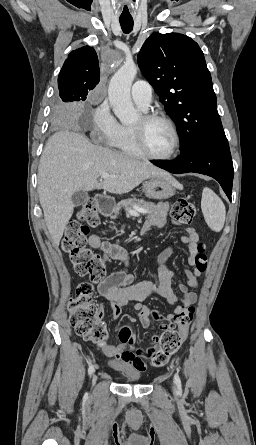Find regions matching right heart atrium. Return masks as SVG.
<instances>
[{
  "label": "right heart atrium",
  "instance_id": "d8ad5b80",
  "mask_svg": "<svg viewBox=\"0 0 256 445\" xmlns=\"http://www.w3.org/2000/svg\"><path fill=\"white\" fill-rule=\"evenodd\" d=\"M122 130L106 101L98 103L92 115V135L101 143L113 145Z\"/></svg>",
  "mask_w": 256,
  "mask_h": 445
}]
</instances>
